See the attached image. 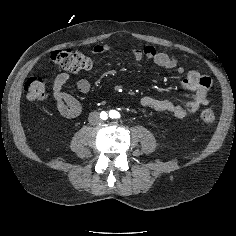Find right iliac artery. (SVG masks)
<instances>
[{"label":"right iliac artery","instance_id":"82829eb1","mask_svg":"<svg viewBox=\"0 0 236 236\" xmlns=\"http://www.w3.org/2000/svg\"><path fill=\"white\" fill-rule=\"evenodd\" d=\"M102 114H103L105 117H107V114H106L105 112H102Z\"/></svg>","mask_w":236,"mask_h":236}]
</instances>
